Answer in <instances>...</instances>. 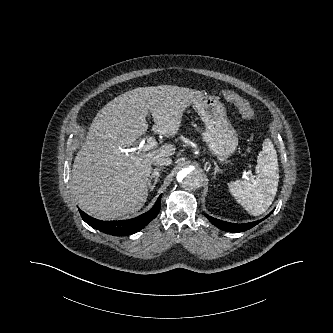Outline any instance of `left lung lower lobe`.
Wrapping results in <instances>:
<instances>
[{
	"instance_id": "0a47b994",
	"label": "left lung lower lobe",
	"mask_w": 333,
	"mask_h": 333,
	"mask_svg": "<svg viewBox=\"0 0 333 333\" xmlns=\"http://www.w3.org/2000/svg\"><path fill=\"white\" fill-rule=\"evenodd\" d=\"M268 216L269 215H267L265 218H263L261 220L255 221V222H250V223H245V224H234V223L224 222V221H221V220H218L216 218L206 215L208 220L210 222H212L215 226H217L218 228H220L224 231H228V232H242V231L248 230V229L254 227L255 225H257L258 223H260L261 221H263L264 219H266Z\"/></svg>"
}]
</instances>
